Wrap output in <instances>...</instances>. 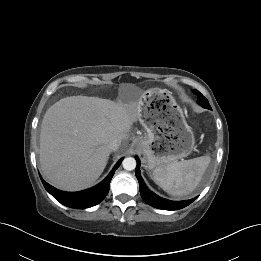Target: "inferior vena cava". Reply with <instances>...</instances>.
<instances>
[{
  "label": "inferior vena cava",
  "mask_w": 261,
  "mask_h": 261,
  "mask_svg": "<svg viewBox=\"0 0 261 261\" xmlns=\"http://www.w3.org/2000/svg\"><path fill=\"white\" fill-rule=\"evenodd\" d=\"M120 140L118 139H113L109 142L108 144V148L111 150V151H116L120 145Z\"/></svg>",
  "instance_id": "602c4592"
}]
</instances>
